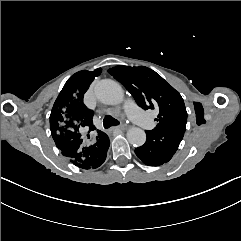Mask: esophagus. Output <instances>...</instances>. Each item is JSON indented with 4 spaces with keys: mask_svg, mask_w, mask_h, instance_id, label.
Returning <instances> with one entry per match:
<instances>
[{
    "mask_svg": "<svg viewBox=\"0 0 241 241\" xmlns=\"http://www.w3.org/2000/svg\"><path fill=\"white\" fill-rule=\"evenodd\" d=\"M116 129L124 130V129H126V126L125 125H121V126H118Z\"/></svg>",
    "mask_w": 241,
    "mask_h": 241,
    "instance_id": "obj_1",
    "label": "esophagus"
}]
</instances>
